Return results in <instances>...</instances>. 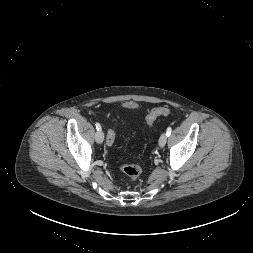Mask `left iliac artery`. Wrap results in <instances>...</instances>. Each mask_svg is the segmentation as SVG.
I'll return each instance as SVG.
<instances>
[{
	"label": "left iliac artery",
	"instance_id": "1",
	"mask_svg": "<svg viewBox=\"0 0 253 253\" xmlns=\"http://www.w3.org/2000/svg\"><path fill=\"white\" fill-rule=\"evenodd\" d=\"M171 131H172V128H171V127H168V128H167V131H166L167 137L170 136Z\"/></svg>",
	"mask_w": 253,
	"mask_h": 253
}]
</instances>
